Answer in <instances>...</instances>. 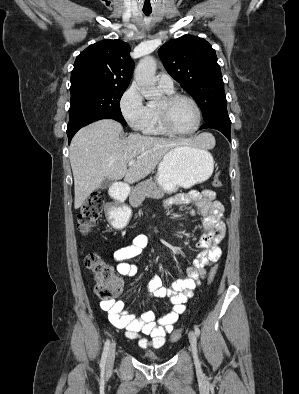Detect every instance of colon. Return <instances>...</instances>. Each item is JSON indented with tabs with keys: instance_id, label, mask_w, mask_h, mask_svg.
Returning <instances> with one entry per match:
<instances>
[{
	"instance_id": "colon-1",
	"label": "colon",
	"mask_w": 299,
	"mask_h": 394,
	"mask_svg": "<svg viewBox=\"0 0 299 394\" xmlns=\"http://www.w3.org/2000/svg\"><path fill=\"white\" fill-rule=\"evenodd\" d=\"M212 185L216 188L222 187V181L219 175H215ZM104 195L101 192L92 193L82 205L79 215L78 224L80 230L89 234L97 224L102 207L104 205ZM86 267L93 273L96 280L95 292L103 301H113L120 293L122 281L115 274L111 265L103 260L100 254L90 252L85 257ZM217 274V266L211 267L208 273V283L211 284ZM182 330H176L171 335V340L176 342L180 339Z\"/></svg>"
}]
</instances>
